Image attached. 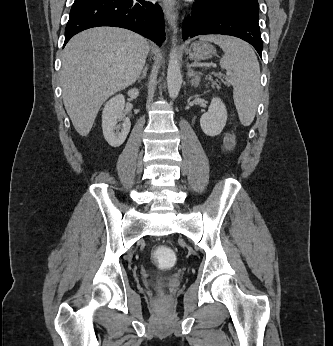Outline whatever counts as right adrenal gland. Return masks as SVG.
<instances>
[{"instance_id":"1","label":"right adrenal gland","mask_w":333,"mask_h":346,"mask_svg":"<svg viewBox=\"0 0 333 346\" xmlns=\"http://www.w3.org/2000/svg\"><path fill=\"white\" fill-rule=\"evenodd\" d=\"M147 71H148V68H147V66H145L143 69L142 75L140 77H138V82H140L142 79H144L146 77Z\"/></svg>"}]
</instances>
